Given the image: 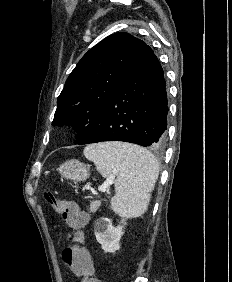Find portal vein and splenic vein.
<instances>
[{
  "mask_svg": "<svg viewBox=\"0 0 232 282\" xmlns=\"http://www.w3.org/2000/svg\"><path fill=\"white\" fill-rule=\"evenodd\" d=\"M108 187H109V183H105L104 185H101V186L98 188V190H99L100 192H105V191H107Z\"/></svg>",
  "mask_w": 232,
  "mask_h": 282,
  "instance_id": "obj_1",
  "label": "portal vein and splenic vein"
}]
</instances>
